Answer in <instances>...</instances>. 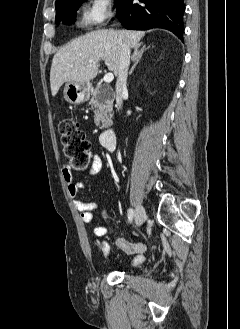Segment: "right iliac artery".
<instances>
[{"instance_id":"1","label":"right iliac artery","mask_w":240,"mask_h":329,"mask_svg":"<svg viewBox=\"0 0 240 329\" xmlns=\"http://www.w3.org/2000/svg\"><path fill=\"white\" fill-rule=\"evenodd\" d=\"M133 216H134V211H133V209H128V211H127V217H128V221H129V223H131L132 222V220H133Z\"/></svg>"}]
</instances>
